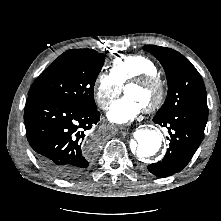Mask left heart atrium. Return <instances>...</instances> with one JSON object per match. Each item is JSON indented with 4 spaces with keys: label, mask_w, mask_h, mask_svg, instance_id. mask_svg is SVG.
I'll use <instances>...</instances> for the list:
<instances>
[{
    "label": "left heart atrium",
    "mask_w": 221,
    "mask_h": 221,
    "mask_svg": "<svg viewBox=\"0 0 221 221\" xmlns=\"http://www.w3.org/2000/svg\"><path fill=\"white\" fill-rule=\"evenodd\" d=\"M143 109V106L130 96L115 100L107 112L108 119L116 124H125L133 120Z\"/></svg>",
    "instance_id": "1"
}]
</instances>
